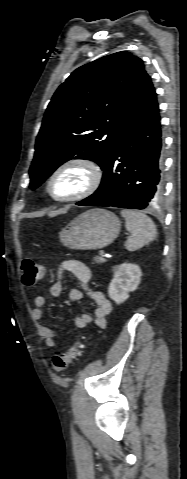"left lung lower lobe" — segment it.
<instances>
[{
    "label": "left lung lower lobe",
    "instance_id": "obj_1",
    "mask_svg": "<svg viewBox=\"0 0 187 479\" xmlns=\"http://www.w3.org/2000/svg\"><path fill=\"white\" fill-rule=\"evenodd\" d=\"M159 106L147 74L105 167L98 190L80 206L144 209L162 193Z\"/></svg>",
    "mask_w": 187,
    "mask_h": 479
}]
</instances>
